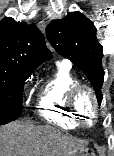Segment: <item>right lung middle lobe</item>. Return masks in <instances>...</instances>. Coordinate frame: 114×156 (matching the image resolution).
<instances>
[{
  "instance_id": "1",
  "label": "right lung middle lobe",
  "mask_w": 114,
  "mask_h": 156,
  "mask_svg": "<svg viewBox=\"0 0 114 156\" xmlns=\"http://www.w3.org/2000/svg\"><path fill=\"white\" fill-rule=\"evenodd\" d=\"M31 72L0 71V124L15 120L21 114L24 81Z\"/></svg>"
}]
</instances>
